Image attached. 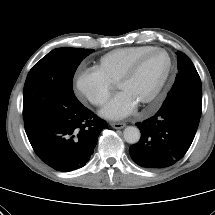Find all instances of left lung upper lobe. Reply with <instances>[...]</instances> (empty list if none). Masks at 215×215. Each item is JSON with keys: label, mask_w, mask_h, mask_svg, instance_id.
Here are the masks:
<instances>
[{"label": "left lung upper lobe", "mask_w": 215, "mask_h": 215, "mask_svg": "<svg viewBox=\"0 0 215 215\" xmlns=\"http://www.w3.org/2000/svg\"><path fill=\"white\" fill-rule=\"evenodd\" d=\"M178 74L167 97L182 96L202 103V87L198 72L187 55L178 52Z\"/></svg>", "instance_id": "5c2ea615"}]
</instances>
